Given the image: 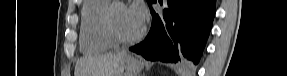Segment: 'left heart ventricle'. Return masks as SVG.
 Instances as JSON below:
<instances>
[{
  "label": "left heart ventricle",
  "mask_w": 287,
  "mask_h": 76,
  "mask_svg": "<svg viewBox=\"0 0 287 76\" xmlns=\"http://www.w3.org/2000/svg\"><path fill=\"white\" fill-rule=\"evenodd\" d=\"M114 23L118 31L124 36L136 35L142 25L135 19L129 7H118L114 14Z\"/></svg>",
  "instance_id": "b2bd125f"
}]
</instances>
